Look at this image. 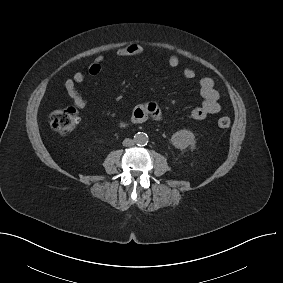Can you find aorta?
<instances>
[{"instance_id": "762f6f07", "label": "aorta", "mask_w": 283, "mask_h": 283, "mask_svg": "<svg viewBox=\"0 0 283 283\" xmlns=\"http://www.w3.org/2000/svg\"><path fill=\"white\" fill-rule=\"evenodd\" d=\"M134 142L137 145H145L148 142V136L144 132H138L134 136Z\"/></svg>"}]
</instances>
